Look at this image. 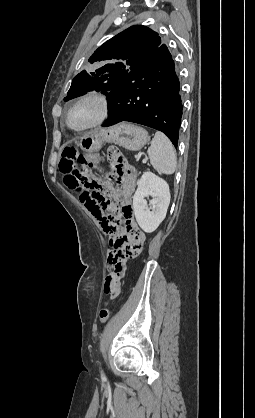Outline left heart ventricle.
I'll return each instance as SVG.
<instances>
[{"mask_svg":"<svg viewBox=\"0 0 255 418\" xmlns=\"http://www.w3.org/2000/svg\"><path fill=\"white\" fill-rule=\"evenodd\" d=\"M98 114L95 101H86L77 105L70 114V124L74 128H81L92 122Z\"/></svg>","mask_w":255,"mask_h":418,"instance_id":"b2bd125f","label":"left heart ventricle"}]
</instances>
